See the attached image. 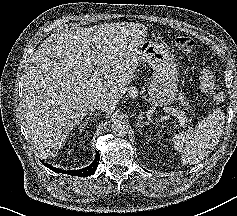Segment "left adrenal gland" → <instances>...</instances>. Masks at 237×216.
<instances>
[{
    "label": "left adrenal gland",
    "instance_id": "a2214340",
    "mask_svg": "<svg viewBox=\"0 0 237 216\" xmlns=\"http://www.w3.org/2000/svg\"><path fill=\"white\" fill-rule=\"evenodd\" d=\"M143 119H144L143 115L140 114L139 117L137 118V126L138 127H144L145 126V123L143 122Z\"/></svg>",
    "mask_w": 237,
    "mask_h": 216
}]
</instances>
